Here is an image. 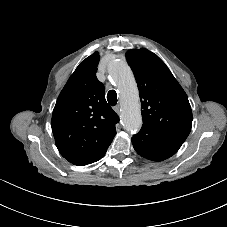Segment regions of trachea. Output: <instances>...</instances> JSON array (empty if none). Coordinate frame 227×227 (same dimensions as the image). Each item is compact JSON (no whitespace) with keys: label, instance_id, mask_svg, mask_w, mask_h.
<instances>
[{"label":"trachea","instance_id":"3493384b","mask_svg":"<svg viewBox=\"0 0 227 227\" xmlns=\"http://www.w3.org/2000/svg\"><path fill=\"white\" fill-rule=\"evenodd\" d=\"M107 101L111 106H115L117 104V94L114 90H110L107 94Z\"/></svg>","mask_w":227,"mask_h":227}]
</instances>
